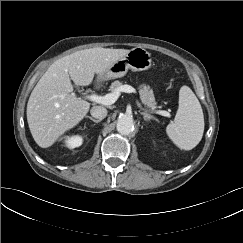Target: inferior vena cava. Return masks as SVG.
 <instances>
[{
    "label": "inferior vena cava",
    "instance_id": "obj_1",
    "mask_svg": "<svg viewBox=\"0 0 243 243\" xmlns=\"http://www.w3.org/2000/svg\"><path fill=\"white\" fill-rule=\"evenodd\" d=\"M90 113L93 117L102 120L107 116V109L103 106H94Z\"/></svg>",
    "mask_w": 243,
    "mask_h": 243
}]
</instances>
